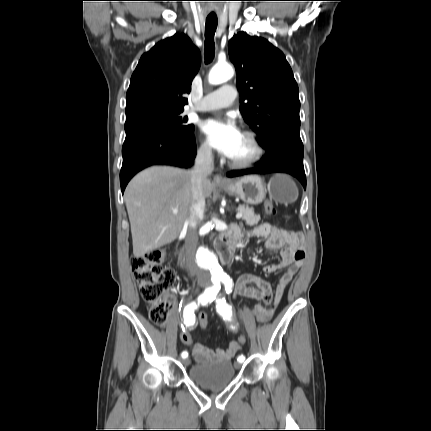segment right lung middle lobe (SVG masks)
I'll return each instance as SVG.
<instances>
[{"instance_id": "right-lung-middle-lobe-1", "label": "right lung middle lobe", "mask_w": 431, "mask_h": 431, "mask_svg": "<svg viewBox=\"0 0 431 431\" xmlns=\"http://www.w3.org/2000/svg\"><path fill=\"white\" fill-rule=\"evenodd\" d=\"M179 111L155 112L140 117L128 119L125 122L126 134L151 127H162L173 132L190 134L194 125L187 123V117H182Z\"/></svg>"}]
</instances>
